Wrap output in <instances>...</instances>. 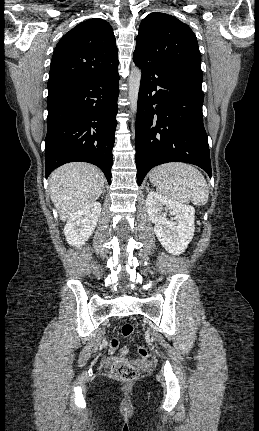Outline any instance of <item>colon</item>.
<instances>
[{
	"label": "colon",
	"instance_id": "5ec220e1",
	"mask_svg": "<svg viewBox=\"0 0 259 431\" xmlns=\"http://www.w3.org/2000/svg\"><path fill=\"white\" fill-rule=\"evenodd\" d=\"M133 330L134 328L132 324L125 323L120 327V334L122 337L127 338L132 335ZM118 347H119L118 340L116 338L112 339L110 343V351L115 352L118 349ZM120 351L122 354H126L128 352V348L122 347ZM138 354L142 358L150 357V351L148 350V348L143 346L138 348ZM111 372H112V375L120 381H133L139 375L138 369L134 365H132L131 363L125 360H118L114 362L111 368Z\"/></svg>",
	"mask_w": 259,
	"mask_h": 431
}]
</instances>
